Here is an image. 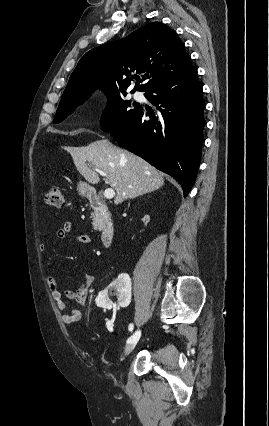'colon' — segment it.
Segmentation results:
<instances>
[{
  "label": "colon",
  "instance_id": "5ec220e1",
  "mask_svg": "<svg viewBox=\"0 0 269 426\" xmlns=\"http://www.w3.org/2000/svg\"><path fill=\"white\" fill-rule=\"evenodd\" d=\"M46 202L48 205L54 208H63L64 207V196L63 188L60 185H54L49 190Z\"/></svg>",
  "mask_w": 269,
  "mask_h": 426
}]
</instances>
